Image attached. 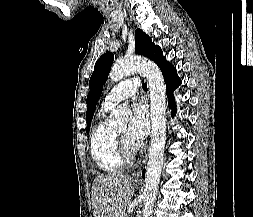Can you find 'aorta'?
<instances>
[{
    "mask_svg": "<svg viewBox=\"0 0 253 217\" xmlns=\"http://www.w3.org/2000/svg\"><path fill=\"white\" fill-rule=\"evenodd\" d=\"M135 72H140L147 78L151 99L152 138L146 167L143 209V217H150L157 197L166 143L165 83L159 67L150 60L140 58H124L117 61L111 68L110 79L119 81ZM130 115V110L122 106L117 107L111 113L113 123L119 126L126 125Z\"/></svg>",
    "mask_w": 253,
    "mask_h": 217,
    "instance_id": "1",
    "label": "aorta"
}]
</instances>
